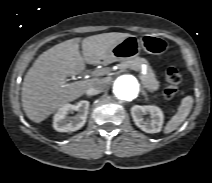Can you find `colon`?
I'll return each mask as SVG.
<instances>
[{
  "label": "colon",
  "instance_id": "5ec220e1",
  "mask_svg": "<svg viewBox=\"0 0 212 183\" xmlns=\"http://www.w3.org/2000/svg\"><path fill=\"white\" fill-rule=\"evenodd\" d=\"M181 80V74L176 68L170 67L167 69L165 74L166 86L163 90L166 99H172L176 95Z\"/></svg>",
  "mask_w": 212,
  "mask_h": 183
}]
</instances>
